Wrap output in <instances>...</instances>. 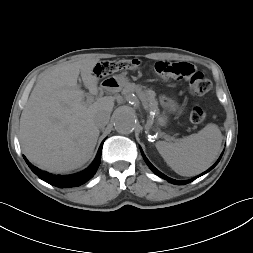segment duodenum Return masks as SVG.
<instances>
[{"instance_id":"duodenum-1","label":"duodenum","mask_w":253,"mask_h":253,"mask_svg":"<svg viewBox=\"0 0 253 253\" xmlns=\"http://www.w3.org/2000/svg\"><path fill=\"white\" fill-rule=\"evenodd\" d=\"M110 86H112V84L110 83V81H106V82L102 83L101 89L102 90H107Z\"/></svg>"}]
</instances>
